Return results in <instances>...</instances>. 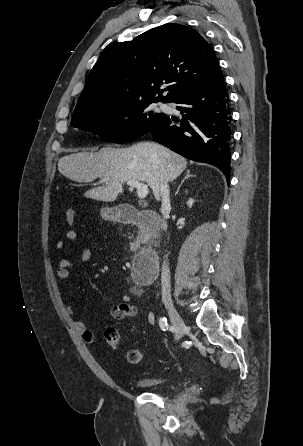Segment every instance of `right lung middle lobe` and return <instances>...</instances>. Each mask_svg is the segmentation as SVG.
I'll list each match as a JSON object with an SVG mask.
<instances>
[{"label": "right lung middle lobe", "mask_w": 303, "mask_h": 446, "mask_svg": "<svg viewBox=\"0 0 303 446\" xmlns=\"http://www.w3.org/2000/svg\"><path fill=\"white\" fill-rule=\"evenodd\" d=\"M152 103L150 100H139L102 106L74 115L71 125L99 135L108 142L133 141L147 133L164 117L162 113L148 111Z\"/></svg>", "instance_id": "1"}]
</instances>
